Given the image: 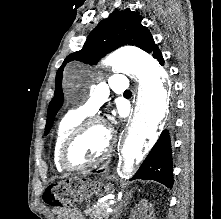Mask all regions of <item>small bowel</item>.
Instances as JSON below:
<instances>
[{"instance_id": "obj_1", "label": "small bowel", "mask_w": 221, "mask_h": 219, "mask_svg": "<svg viewBox=\"0 0 221 219\" xmlns=\"http://www.w3.org/2000/svg\"><path fill=\"white\" fill-rule=\"evenodd\" d=\"M60 219H86L77 208L58 209Z\"/></svg>"}]
</instances>
